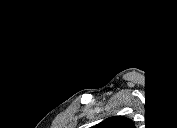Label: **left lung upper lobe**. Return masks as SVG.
<instances>
[{"instance_id": "left-lung-upper-lobe-1", "label": "left lung upper lobe", "mask_w": 177, "mask_h": 128, "mask_svg": "<svg viewBox=\"0 0 177 128\" xmlns=\"http://www.w3.org/2000/svg\"><path fill=\"white\" fill-rule=\"evenodd\" d=\"M103 128H132L134 127L133 122L123 116H113L105 119L100 124Z\"/></svg>"}]
</instances>
